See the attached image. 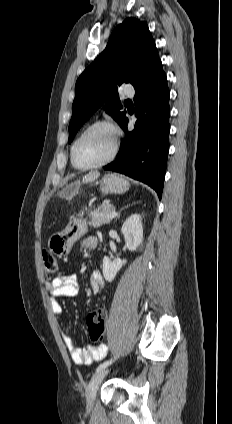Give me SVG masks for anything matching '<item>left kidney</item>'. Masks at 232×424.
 <instances>
[{
	"label": "left kidney",
	"instance_id": "5707ae66",
	"mask_svg": "<svg viewBox=\"0 0 232 424\" xmlns=\"http://www.w3.org/2000/svg\"><path fill=\"white\" fill-rule=\"evenodd\" d=\"M121 232L124 235L126 247L130 251H135L137 248L142 247L143 242V226L141 216L139 214L131 215L122 225ZM123 259H111L109 257L103 258V275L106 281L112 282L118 271L126 264Z\"/></svg>",
	"mask_w": 232,
	"mask_h": 424
}]
</instances>
